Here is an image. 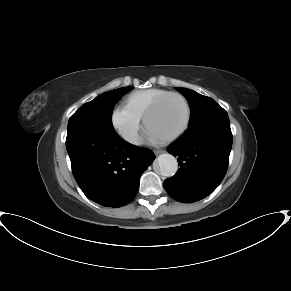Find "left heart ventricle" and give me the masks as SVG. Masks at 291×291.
I'll return each mask as SVG.
<instances>
[{"instance_id":"left-heart-ventricle-1","label":"left heart ventricle","mask_w":291,"mask_h":291,"mask_svg":"<svg viewBox=\"0 0 291 291\" xmlns=\"http://www.w3.org/2000/svg\"><path fill=\"white\" fill-rule=\"evenodd\" d=\"M185 117L184 103L177 97H169L150 117L147 127L165 138L183 125Z\"/></svg>"}]
</instances>
